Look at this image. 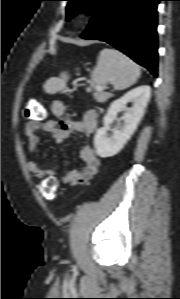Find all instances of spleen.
Returning <instances> with one entry per match:
<instances>
[{"mask_svg": "<svg viewBox=\"0 0 180 299\" xmlns=\"http://www.w3.org/2000/svg\"><path fill=\"white\" fill-rule=\"evenodd\" d=\"M140 77V67L129 57L116 49L105 48L100 51L98 61L91 73L90 82L103 86L112 84L117 90H124ZM67 73H61L59 78H51L46 85L47 91L56 93L65 88Z\"/></svg>", "mask_w": 180, "mask_h": 299, "instance_id": "spleen-1", "label": "spleen"}]
</instances>
